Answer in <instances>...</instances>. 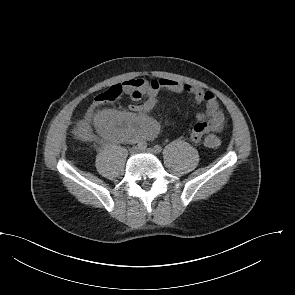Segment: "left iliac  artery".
I'll list each match as a JSON object with an SVG mask.
<instances>
[{"label": "left iliac artery", "instance_id": "obj_1", "mask_svg": "<svg viewBox=\"0 0 295 295\" xmlns=\"http://www.w3.org/2000/svg\"><path fill=\"white\" fill-rule=\"evenodd\" d=\"M154 151H155V153H160L162 151V147L160 145H155Z\"/></svg>", "mask_w": 295, "mask_h": 295}]
</instances>
